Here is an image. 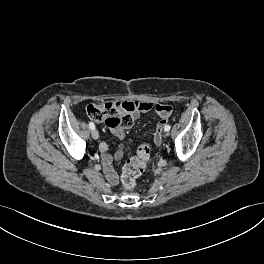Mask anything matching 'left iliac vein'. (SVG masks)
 Masks as SVG:
<instances>
[{
  "mask_svg": "<svg viewBox=\"0 0 264 264\" xmlns=\"http://www.w3.org/2000/svg\"><path fill=\"white\" fill-rule=\"evenodd\" d=\"M165 137H166V138H169V137H170V134H169L168 131H166Z\"/></svg>",
  "mask_w": 264,
  "mask_h": 264,
  "instance_id": "1",
  "label": "left iliac vein"
}]
</instances>
